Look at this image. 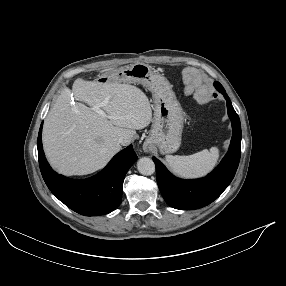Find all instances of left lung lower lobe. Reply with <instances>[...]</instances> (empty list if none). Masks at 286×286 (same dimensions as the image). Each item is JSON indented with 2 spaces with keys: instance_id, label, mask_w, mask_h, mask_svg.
I'll use <instances>...</instances> for the list:
<instances>
[{
  "instance_id": "left-lung-lower-lobe-1",
  "label": "left lung lower lobe",
  "mask_w": 286,
  "mask_h": 286,
  "mask_svg": "<svg viewBox=\"0 0 286 286\" xmlns=\"http://www.w3.org/2000/svg\"><path fill=\"white\" fill-rule=\"evenodd\" d=\"M222 94L227 101L233 135L228 153L212 173L201 179L182 180L173 176L153 157L158 187L165 201L173 208L190 210L210 204L228 187L236 173L241 155V124L228 95L226 92Z\"/></svg>"
}]
</instances>
